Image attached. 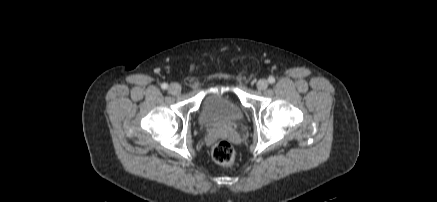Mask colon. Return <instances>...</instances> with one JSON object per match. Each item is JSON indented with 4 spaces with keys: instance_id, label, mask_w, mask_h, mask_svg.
Wrapping results in <instances>:
<instances>
[{
    "instance_id": "1",
    "label": "colon",
    "mask_w": 437,
    "mask_h": 202,
    "mask_svg": "<svg viewBox=\"0 0 437 202\" xmlns=\"http://www.w3.org/2000/svg\"><path fill=\"white\" fill-rule=\"evenodd\" d=\"M212 158L218 164L231 166L235 162V150L228 141L219 140L212 148Z\"/></svg>"
}]
</instances>
